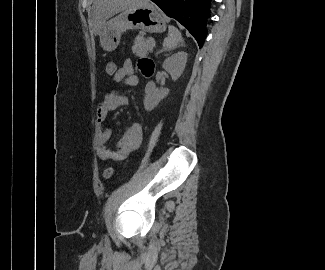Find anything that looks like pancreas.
<instances>
[{"label": "pancreas", "mask_w": 325, "mask_h": 270, "mask_svg": "<svg viewBox=\"0 0 325 270\" xmlns=\"http://www.w3.org/2000/svg\"><path fill=\"white\" fill-rule=\"evenodd\" d=\"M150 39H145L141 35H138L132 46V52L137 56L148 55L153 50Z\"/></svg>", "instance_id": "1"}]
</instances>
